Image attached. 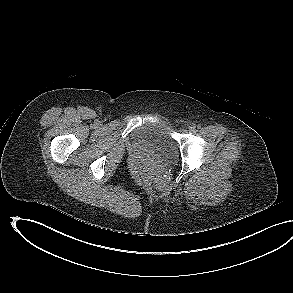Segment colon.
Wrapping results in <instances>:
<instances>
[{
  "mask_svg": "<svg viewBox=\"0 0 293 293\" xmlns=\"http://www.w3.org/2000/svg\"><path fill=\"white\" fill-rule=\"evenodd\" d=\"M154 175L153 169L149 166L141 167L138 171L139 180L143 183H148L152 180Z\"/></svg>",
  "mask_w": 293,
  "mask_h": 293,
  "instance_id": "colon-1",
  "label": "colon"
}]
</instances>
